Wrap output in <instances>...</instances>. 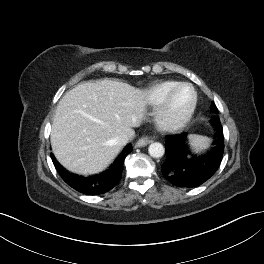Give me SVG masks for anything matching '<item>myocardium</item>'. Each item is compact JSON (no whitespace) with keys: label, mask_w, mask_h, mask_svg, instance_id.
Returning <instances> with one entry per match:
<instances>
[{"label":"myocardium","mask_w":264,"mask_h":264,"mask_svg":"<svg viewBox=\"0 0 264 264\" xmlns=\"http://www.w3.org/2000/svg\"><path fill=\"white\" fill-rule=\"evenodd\" d=\"M184 87H188L191 90L192 98L184 112L179 116H175L173 111L174 98L179 90ZM197 104L198 93L195 87L188 82L178 83L168 92L163 102L159 105L155 115V123L157 127L165 132H176L183 129L192 119Z\"/></svg>","instance_id":"obj_1"}]
</instances>
